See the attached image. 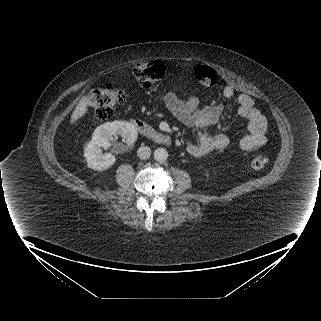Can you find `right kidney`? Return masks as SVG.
<instances>
[{
    "label": "right kidney",
    "instance_id": "ca27d5eb",
    "mask_svg": "<svg viewBox=\"0 0 321 321\" xmlns=\"http://www.w3.org/2000/svg\"><path fill=\"white\" fill-rule=\"evenodd\" d=\"M115 135H121L123 141L131 145L136 141L138 133L134 126L126 121L107 122L98 126L84 150L89 168L101 171L115 163L116 157L112 153H102V148L108 149L111 146L110 141Z\"/></svg>",
    "mask_w": 321,
    "mask_h": 321
}]
</instances>
